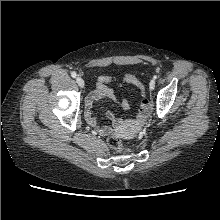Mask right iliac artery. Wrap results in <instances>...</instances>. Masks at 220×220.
Instances as JSON below:
<instances>
[{"mask_svg": "<svg viewBox=\"0 0 220 220\" xmlns=\"http://www.w3.org/2000/svg\"><path fill=\"white\" fill-rule=\"evenodd\" d=\"M71 76L75 78L77 76L76 72H71Z\"/></svg>", "mask_w": 220, "mask_h": 220, "instance_id": "right-iliac-artery-1", "label": "right iliac artery"}]
</instances>
